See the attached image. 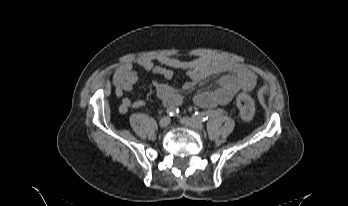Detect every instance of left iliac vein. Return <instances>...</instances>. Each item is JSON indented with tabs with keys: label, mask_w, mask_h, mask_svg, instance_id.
<instances>
[{
	"label": "left iliac vein",
	"mask_w": 348,
	"mask_h": 206,
	"mask_svg": "<svg viewBox=\"0 0 348 206\" xmlns=\"http://www.w3.org/2000/svg\"><path fill=\"white\" fill-rule=\"evenodd\" d=\"M180 122L184 126L194 130L202 131L204 129V125L202 124V122L195 120L193 118L183 117L180 119Z\"/></svg>",
	"instance_id": "obj_1"
}]
</instances>
